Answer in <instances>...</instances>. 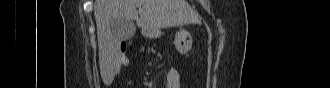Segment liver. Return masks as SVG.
Instances as JSON below:
<instances>
[{
    "label": "liver",
    "instance_id": "obj_1",
    "mask_svg": "<svg viewBox=\"0 0 330 88\" xmlns=\"http://www.w3.org/2000/svg\"><path fill=\"white\" fill-rule=\"evenodd\" d=\"M94 17L100 74L106 85L112 83L117 69L121 40L119 33L115 31L116 23L136 20V24L142 28V34L148 35L153 30L197 20L186 0H96Z\"/></svg>",
    "mask_w": 330,
    "mask_h": 88
}]
</instances>
